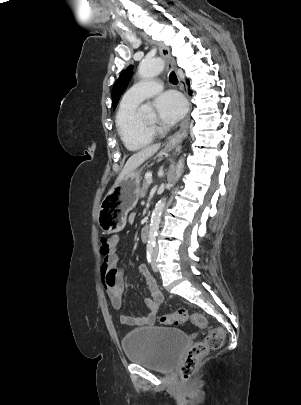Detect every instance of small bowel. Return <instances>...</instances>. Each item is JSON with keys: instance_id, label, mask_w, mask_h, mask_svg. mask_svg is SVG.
<instances>
[{"instance_id": "1", "label": "small bowel", "mask_w": 301, "mask_h": 405, "mask_svg": "<svg viewBox=\"0 0 301 405\" xmlns=\"http://www.w3.org/2000/svg\"><path fill=\"white\" fill-rule=\"evenodd\" d=\"M134 221V215L129 216V222ZM111 250L108 254H103V260L100 267L101 282L103 288L107 294V297L115 309H120L123 304V298L126 292V286L124 283V272L118 268L120 257L117 252V244L119 241L118 236H112L110 239ZM140 272L146 279L148 289L150 291V297L145 298L144 302L148 308V313L139 316L132 317L128 315H122L120 321L127 326H143L151 325L154 323L160 306L163 302V295L158 288V285L154 278L150 275L145 265L140 266Z\"/></svg>"}]
</instances>
